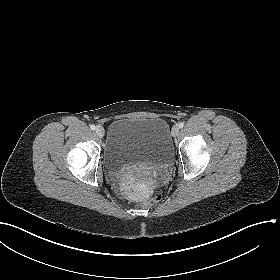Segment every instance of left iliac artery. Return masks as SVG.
<instances>
[{
    "mask_svg": "<svg viewBox=\"0 0 280 280\" xmlns=\"http://www.w3.org/2000/svg\"><path fill=\"white\" fill-rule=\"evenodd\" d=\"M183 127H184V123L183 122L179 123V128H183Z\"/></svg>",
    "mask_w": 280,
    "mask_h": 280,
    "instance_id": "1",
    "label": "left iliac artery"
}]
</instances>
